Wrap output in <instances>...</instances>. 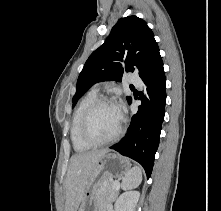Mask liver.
Returning a JSON list of instances; mask_svg holds the SVG:
<instances>
[{
  "mask_svg": "<svg viewBox=\"0 0 221 211\" xmlns=\"http://www.w3.org/2000/svg\"><path fill=\"white\" fill-rule=\"evenodd\" d=\"M108 152L109 150H96L71 157L65 180V211H77L87 179L93 172L98 159Z\"/></svg>",
  "mask_w": 221,
  "mask_h": 211,
  "instance_id": "liver-1",
  "label": "liver"
}]
</instances>
